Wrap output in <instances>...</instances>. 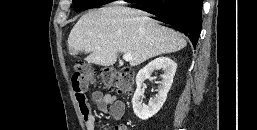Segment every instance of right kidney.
Returning a JSON list of instances; mask_svg holds the SVG:
<instances>
[{
  "mask_svg": "<svg viewBox=\"0 0 257 130\" xmlns=\"http://www.w3.org/2000/svg\"><path fill=\"white\" fill-rule=\"evenodd\" d=\"M159 69L163 70V74H161L162 81L158 87V94L155 98L149 100L148 105H145L141 100L143 97V91L141 89L142 83L150 78L153 71ZM176 69L177 64L172 59L159 57L138 72L136 76L137 89L132 98L133 111L138 118L147 120L162 108L173 83Z\"/></svg>",
  "mask_w": 257,
  "mask_h": 130,
  "instance_id": "ca27d5eb",
  "label": "right kidney"
}]
</instances>
